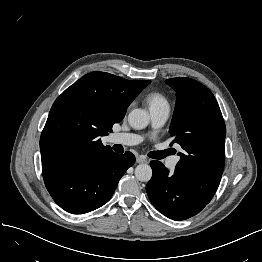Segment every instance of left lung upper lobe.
<instances>
[{"mask_svg":"<svg viewBox=\"0 0 262 262\" xmlns=\"http://www.w3.org/2000/svg\"><path fill=\"white\" fill-rule=\"evenodd\" d=\"M166 83L177 95L169 133L172 143L184 150L178 154L181 159L174 173L209 203L224 168L226 127L222 113L212 92L198 81L177 77Z\"/></svg>","mask_w":262,"mask_h":262,"instance_id":"obj_1","label":"left lung upper lobe"}]
</instances>
